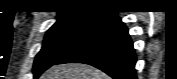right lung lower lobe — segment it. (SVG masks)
I'll return each mask as SVG.
<instances>
[{
    "label": "right lung lower lobe",
    "mask_w": 177,
    "mask_h": 79,
    "mask_svg": "<svg viewBox=\"0 0 177 79\" xmlns=\"http://www.w3.org/2000/svg\"><path fill=\"white\" fill-rule=\"evenodd\" d=\"M85 63L113 79H136L133 43L124 23L115 13L105 15L99 25L55 64Z\"/></svg>",
    "instance_id": "right-lung-lower-lobe-1"
}]
</instances>
